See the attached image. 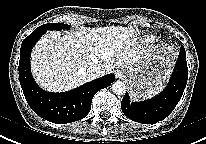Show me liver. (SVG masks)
I'll return each mask as SVG.
<instances>
[{
	"mask_svg": "<svg viewBox=\"0 0 206 144\" xmlns=\"http://www.w3.org/2000/svg\"><path fill=\"white\" fill-rule=\"evenodd\" d=\"M138 39L131 26L50 32L34 47L32 73L43 89L68 91L90 81L86 71L91 66L100 67L105 75L137 64L143 53Z\"/></svg>",
	"mask_w": 206,
	"mask_h": 144,
	"instance_id": "liver-1",
	"label": "liver"
}]
</instances>
